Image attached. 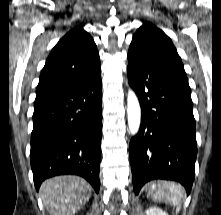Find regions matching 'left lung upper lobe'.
<instances>
[{
	"label": "left lung upper lobe",
	"instance_id": "5c2ea615",
	"mask_svg": "<svg viewBox=\"0 0 221 215\" xmlns=\"http://www.w3.org/2000/svg\"><path fill=\"white\" fill-rule=\"evenodd\" d=\"M128 55L142 60L168 62L184 68L171 39L149 22H144L134 34Z\"/></svg>",
	"mask_w": 221,
	"mask_h": 215
}]
</instances>
